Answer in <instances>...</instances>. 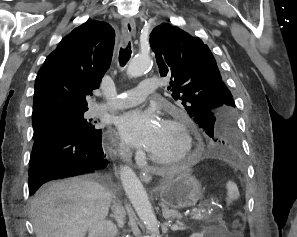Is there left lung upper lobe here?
I'll use <instances>...</instances> for the list:
<instances>
[{
    "instance_id": "obj_1",
    "label": "left lung upper lobe",
    "mask_w": 297,
    "mask_h": 237,
    "mask_svg": "<svg viewBox=\"0 0 297 237\" xmlns=\"http://www.w3.org/2000/svg\"><path fill=\"white\" fill-rule=\"evenodd\" d=\"M161 76L190 117L227 156L240 152L233 96L210 49L198 37L163 23L150 34Z\"/></svg>"
}]
</instances>
